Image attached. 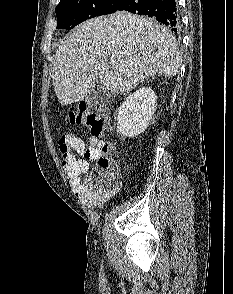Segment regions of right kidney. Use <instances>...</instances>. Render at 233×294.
Returning a JSON list of instances; mask_svg holds the SVG:
<instances>
[{"mask_svg":"<svg viewBox=\"0 0 233 294\" xmlns=\"http://www.w3.org/2000/svg\"><path fill=\"white\" fill-rule=\"evenodd\" d=\"M157 108V96L149 87L128 95L120 105L117 115V131L125 137H136L149 125Z\"/></svg>","mask_w":233,"mask_h":294,"instance_id":"1","label":"right kidney"}]
</instances>
